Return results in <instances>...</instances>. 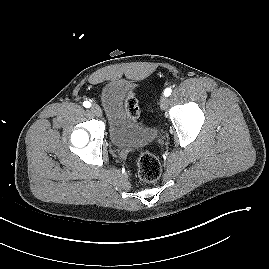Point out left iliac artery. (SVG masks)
<instances>
[{
  "mask_svg": "<svg viewBox=\"0 0 269 269\" xmlns=\"http://www.w3.org/2000/svg\"><path fill=\"white\" fill-rule=\"evenodd\" d=\"M171 92H172L171 88H166L164 90V96L168 97L171 94Z\"/></svg>",
  "mask_w": 269,
  "mask_h": 269,
  "instance_id": "44dca946",
  "label": "left iliac artery"
}]
</instances>
